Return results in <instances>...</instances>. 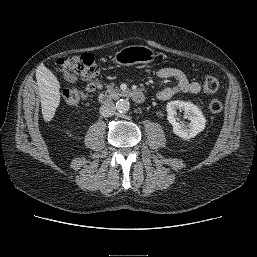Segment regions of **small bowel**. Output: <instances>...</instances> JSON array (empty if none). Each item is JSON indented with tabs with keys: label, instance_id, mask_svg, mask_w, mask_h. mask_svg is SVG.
Returning <instances> with one entry per match:
<instances>
[{
	"label": "small bowel",
	"instance_id": "small-bowel-1",
	"mask_svg": "<svg viewBox=\"0 0 257 257\" xmlns=\"http://www.w3.org/2000/svg\"><path fill=\"white\" fill-rule=\"evenodd\" d=\"M157 76L161 79H174L176 85L174 87H166L156 93V98L166 101L178 93L197 94L201 91V84L191 81L179 69L172 67H163L157 70Z\"/></svg>",
	"mask_w": 257,
	"mask_h": 257
}]
</instances>
